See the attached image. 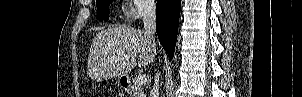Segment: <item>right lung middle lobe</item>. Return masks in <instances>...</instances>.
<instances>
[{"label":"right lung middle lobe","mask_w":302,"mask_h":97,"mask_svg":"<svg viewBox=\"0 0 302 97\" xmlns=\"http://www.w3.org/2000/svg\"><path fill=\"white\" fill-rule=\"evenodd\" d=\"M97 3V14L100 21L108 20V8L109 5L112 3V0H96Z\"/></svg>","instance_id":"1"}]
</instances>
